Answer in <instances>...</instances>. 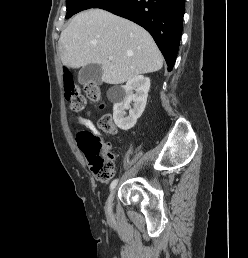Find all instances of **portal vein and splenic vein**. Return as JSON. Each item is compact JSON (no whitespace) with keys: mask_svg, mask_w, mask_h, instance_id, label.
<instances>
[{"mask_svg":"<svg viewBox=\"0 0 248 258\" xmlns=\"http://www.w3.org/2000/svg\"><path fill=\"white\" fill-rule=\"evenodd\" d=\"M110 61L114 60V57L113 56H109L108 58Z\"/></svg>","mask_w":248,"mask_h":258,"instance_id":"portal-vein-and-splenic-vein-1","label":"portal vein and splenic vein"}]
</instances>
